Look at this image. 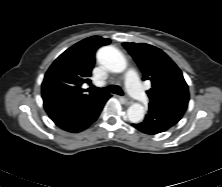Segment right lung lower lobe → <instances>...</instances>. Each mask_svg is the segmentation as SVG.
Wrapping results in <instances>:
<instances>
[{
  "label": "right lung lower lobe",
  "instance_id": "98d812e1",
  "mask_svg": "<svg viewBox=\"0 0 222 187\" xmlns=\"http://www.w3.org/2000/svg\"><path fill=\"white\" fill-rule=\"evenodd\" d=\"M110 95L87 102H77L53 92L42 94L44 108L52 121L68 132H80L98 118Z\"/></svg>",
  "mask_w": 222,
  "mask_h": 187
}]
</instances>
